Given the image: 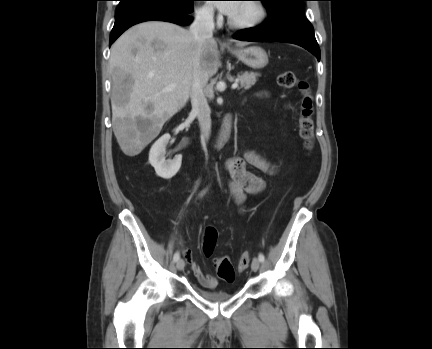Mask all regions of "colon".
I'll list each match as a JSON object with an SVG mask.
<instances>
[{"mask_svg": "<svg viewBox=\"0 0 432 349\" xmlns=\"http://www.w3.org/2000/svg\"><path fill=\"white\" fill-rule=\"evenodd\" d=\"M278 85L285 89H297L301 93L299 134L305 147L310 150L314 144V100L309 84L297 78L291 71H285L278 75ZM217 242V232L213 228H208L205 232L203 242V252L206 256H211ZM251 261V255L244 252L235 267L227 256L214 259V266L219 278L231 282L235 279L237 271L246 269Z\"/></svg>", "mask_w": 432, "mask_h": 349, "instance_id": "1", "label": "colon"}]
</instances>
